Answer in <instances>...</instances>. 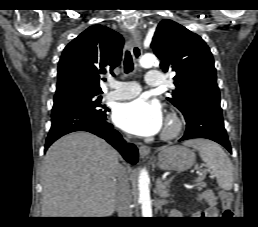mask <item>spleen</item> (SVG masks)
I'll use <instances>...</instances> for the list:
<instances>
[{
	"label": "spleen",
	"mask_w": 258,
	"mask_h": 227,
	"mask_svg": "<svg viewBox=\"0 0 258 227\" xmlns=\"http://www.w3.org/2000/svg\"><path fill=\"white\" fill-rule=\"evenodd\" d=\"M199 151L201 159L216 176L218 186L223 190L233 187V166L220 145L207 139H192L183 143Z\"/></svg>",
	"instance_id": "3e777b00"
}]
</instances>
